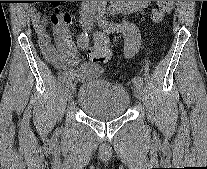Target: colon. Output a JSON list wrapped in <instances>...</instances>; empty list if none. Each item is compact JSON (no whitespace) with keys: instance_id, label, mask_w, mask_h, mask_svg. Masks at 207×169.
I'll return each instance as SVG.
<instances>
[{"instance_id":"colon-1","label":"colon","mask_w":207,"mask_h":169,"mask_svg":"<svg viewBox=\"0 0 207 169\" xmlns=\"http://www.w3.org/2000/svg\"><path fill=\"white\" fill-rule=\"evenodd\" d=\"M174 1H156L153 10L154 21H160L172 10ZM92 62L97 64H105L111 58V48L109 38L104 34H97L94 43L88 52Z\"/></svg>"}]
</instances>
